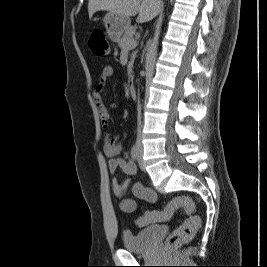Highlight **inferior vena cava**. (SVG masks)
Wrapping results in <instances>:
<instances>
[{
    "label": "inferior vena cava",
    "mask_w": 267,
    "mask_h": 267,
    "mask_svg": "<svg viewBox=\"0 0 267 267\" xmlns=\"http://www.w3.org/2000/svg\"><path fill=\"white\" fill-rule=\"evenodd\" d=\"M139 111V118H140V110H138Z\"/></svg>",
    "instance_id": "inferior-vena-cava-1"
}]
</instances>
